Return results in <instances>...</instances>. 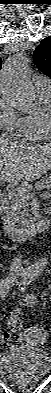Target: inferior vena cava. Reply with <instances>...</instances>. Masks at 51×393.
Wrapping results in <instances>:
<instances>
[{
	"label": "inferior vena cava",
	"instance_id": "1",
	"mask_svg": "<svg viewBox=\"0 0 51 393\" xmlns=\"http://www.w3.org/2000/svg\"><path fill=\"white\" fill-rule=\"evenodd\" d=\"M22 269V255H17L12 261V265L10 266V272L16 274L19 273Z\"/></svg>",
	"mask_w": 51,
	"mask_h": 393
}]
</instances>
